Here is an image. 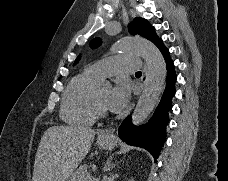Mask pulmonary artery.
<instances>
[{
    "label": "pulmonary artery",
    "instance_id": "obj_1",
    "mask_svg": "<svg viewBox=\"0 0 228 181\" xmlns=\"http://www.w3.org/2000/svg\"><path fill=\"white\" fill-rule=\"evenodd\" d=\"M139 57H105L102 65H89L97 77L112 75V71H140Z\"/></svg>",
    "mask_w": 228,
    "mask_h": 181
}]
</instances>
